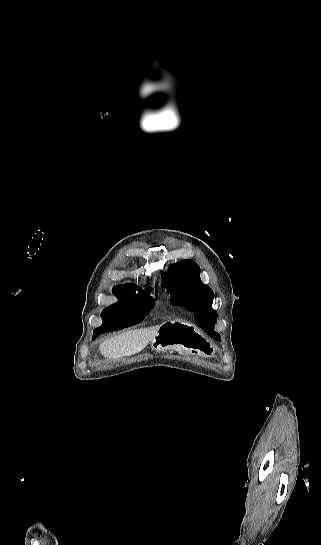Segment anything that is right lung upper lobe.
Instances as JSON below:
<instances>
[{
    "mask_svg": "<svg viewBox=\"0 0 321 545\" xmlns=\"http://www.w3.org/2000/svg\"><path fill=\"white\" fill-rule=\"evenodd\" d=\"M114 288H115V289L133 290V291H135V290H138V291L142 290L141 288H136L135 285H131V284H127V285H118V286H116V287H114Z\"/></svg>",
    "mask_w": 321,
    "mask_h": 545,
    "instance_id": "1",
    "label": "right lung upper lobe"
}]
</instances>
